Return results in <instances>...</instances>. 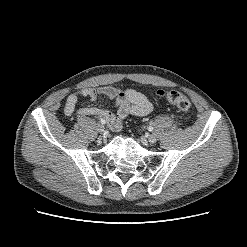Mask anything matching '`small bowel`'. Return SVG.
Wrapping results in <instances>:
<instances>
[{"instance_id": "c3829d8e", "label": "small bowel", "mask_w": 247, "mask_h": 247, "mask_svg": "<svg viewBox=\"0 0 247 247\" xmlns=\"http://www.w3.org/2000/svg\"><path fill=\"white\" fill-rule=\"evenodd\" d=\"M98 98L113 100L115 111L111 112L97 107H83L78 110V114L102 118L113 131L121 129L123 121L128 115L146 116L153 110L152 103L143 93L134 89L120 90L116 87L108 86L99 89L86 88L70 94L65 102L64 114L66 116L72 115L78 103L83 99L94 101Z\"/></svg>"}]
</instances>
